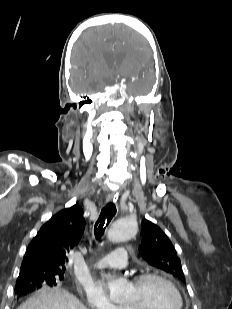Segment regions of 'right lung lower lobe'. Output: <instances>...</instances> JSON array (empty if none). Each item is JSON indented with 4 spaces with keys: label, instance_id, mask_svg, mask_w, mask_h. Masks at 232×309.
<instances>
[{
    "label": "right lung lower lobe",
    "instance_id": "right-lung-lower-lobe-1",
    "mask_svg": "<svg viewBox=\"0 0 232 309\" xmlns=\"http://www.w3.org/2000/svg\"><path fill=\"white\" fill-rule=\"evenodd\" d=\"M37 288H40V286L34 285V284H25L22 286H18V287H15V295H17V297L19 298V297L29 294L30 292L34 291Z\"/></svg>",
    "mask_w": 232,
    "mask_h": 309
}]
</instances>
